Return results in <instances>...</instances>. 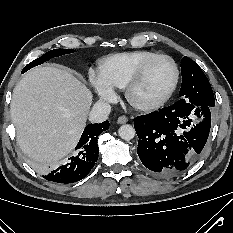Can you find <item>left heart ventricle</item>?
<instances>
[{"mask_svg": "<svg viewBox=\"0 0 233 233\" xmlns=\"http://www.w3.org/2000/svg\"><path fill=\"white\" fill-rule=\"evenodd\" d=\"M174 70L170 60L161 58L151 63L133 91L137 102L146 103L159 98L170 85Z\"/></svg>", "mask_w": 233, "mask_h": 233, "instance_id": "b2bd125f", "label": "left heart ventricle"}]
</instances>
